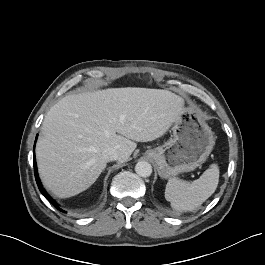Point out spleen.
I'll return each mask as SVG.
<instances>
[{
    "label": "spleen",
    "instance_id": "1",
    "mask_svg": "<svg viewBox=\"0 0 265 265\" xmlns=\"http://www.w3.org/2000/svg\"><path fill=\"white\" fill-rule=\"evenodd\" d=\"M219 168L212 164L199 179L192 182L170 178L165 188V199L180 211H192L205 202L216 190Z\"/></svg>",
    "mask_w": 265,
    "mask_h": 265
}]
</instances>
